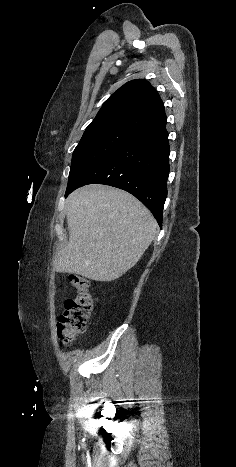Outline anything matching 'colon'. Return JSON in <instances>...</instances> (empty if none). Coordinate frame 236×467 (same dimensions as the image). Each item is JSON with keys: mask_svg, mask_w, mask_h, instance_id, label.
<instances>
[{"mask_svg": "<svg viewBox=\"0 0 236 467\" xmlns=\"http://www.w3.org/2000/svg\"><path fill=\"white\" fill-rule=\"evenodd\" d=\"M69 285L76 296L65 300V309L57 325L59 339L65 345L70 344L77 335L86 331L93 311L89 280L82 275L72 274L69 277Z\"/></svg>", "mask_w": 236, "mask_h": 467, "instance_id": "colon-1", "label": "colon"}]
</instances>
